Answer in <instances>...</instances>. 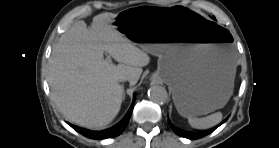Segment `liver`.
<instances>
[{
	"mask_svg": "<svg viewBox=\"0 0 279 148\" xmlns=\"http://www.w3.org/2000/svg\"><path fill=\"white\" fill-rule=\"evenodd\" d=\"M117 14L102 13L88 29L77 21L61 35L49 60L51 97L64 117L89 129H100L117 116L123 100L119 77L135 85L149 55L118 31ZM106 51L118 65L104 60Z\"/></svg>",
	"mask_w": 279,
	"mask_h": 148,
	"instance_id": "1",
	"label": "liver"
}]
</instances>
